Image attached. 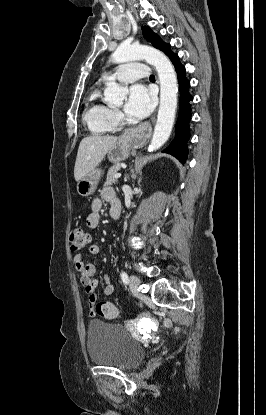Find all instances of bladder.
<instances>
[{"label": "bladder", "mask_w": 266, "mask_h": 415, "mask_svg": "<svg viewBox=\"0 0 266 415\" xmlns=\"http://www.w3.org/2000/svg\"><path fill=\"white\" fill-rule=\"evenodd\" d=\"M87 353L99 366L123 370L136 368L145 357V349L121 325L93 320L88 325Z\"/></svg>", "instance_id": "bladder-1"}]
</instances>
